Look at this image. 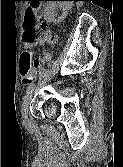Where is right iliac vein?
Returning <instances> with one entry per match:
<instances>
[{"label":"right iliac vein","instance_id":"1","mask_svg":"<svg viewBox=\"0 0 123 167\" xmlns=\"http://www.w3.org/2000/svg\"><path fill=\"white\" fill-rule=\"evenodd\" d=\"M31 98H32V92H30L29 94H27V96L25 97V99H24V101H23L22 108H21V112H22V115H23L24 117L27 116L28 107H29Z\"/></svg>","mask_w":123,"mask_h":167}]
</instances>
